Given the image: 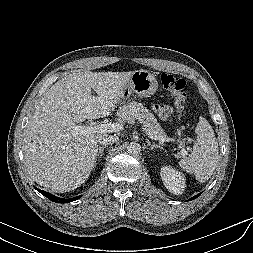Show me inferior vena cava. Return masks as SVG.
I'll use <instances>...</instances> for the list:
<instances>
[{"label": "inferior vena cava", "mask_w": 253, "mask_h": 253, "mask_svg": "<svg viewBox=\"0 0 253 253\" xmlns=\"http://www.w3.org/2000/svg\"><path fill=\"white\" fill-rule=\"evenodd\" d=\"M117 141L116 137L113 136H104L102 138L99 139V143L101 145H109V144H113Z\"/></svg>", "instance_id": "602c4592"}]
</instances>
